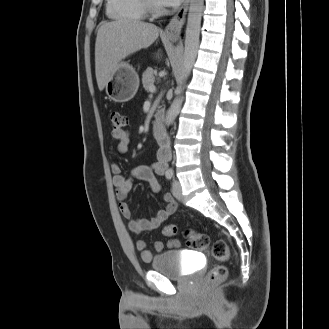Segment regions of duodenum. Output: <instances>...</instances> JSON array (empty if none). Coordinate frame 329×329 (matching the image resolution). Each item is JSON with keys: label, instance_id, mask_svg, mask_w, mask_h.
<instances>
[{"label": "duodenum", "instance_id": "duodenum-1", "mask_svg": "<svg viewBox=\"0 0 329 329\" xmlns=\"http://www.w3.org/2000/svg\"><path fill=\"white\" fill-rule=\"evenodd\" d=\"M164 115L162 111H159L152 122V131L156 139L163 141L166 137L164 129Z\"/></svg>", "mask_w": 329, "mask_h": 329}]
</instances>
